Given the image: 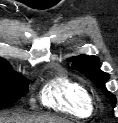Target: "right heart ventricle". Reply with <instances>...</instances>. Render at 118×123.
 <instances>
[{"label":"right heart ventricle","mask_w":118,"mask_h":123,"mask_svg":"<svg viewBox=\"0 0 118 123\" xmlns=\"http://www.w3.org/2000/svg\"><path fill=\"white\" fill-rule=\"evenodd\" d=\"M41 101L48 108L77 118H89L94 113L92 96L87 87L63 73L44 84Z\"/></svg>","instance_id":"e07e8e85"}]
</instances>
